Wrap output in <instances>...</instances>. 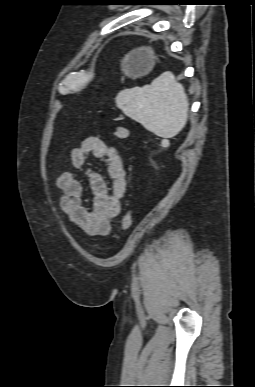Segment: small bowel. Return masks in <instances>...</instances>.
<instances>
[{"mask_svg": "<svg viewBox=\"0 0 255 387\" xmlns=\"http://www.w3.org/2000/svg\"><path fill=\"white\" fill-rule=\"evenodd\" d=\"M93 156L104 160L111 179L110 187L104 177L85 167ZM74 168L85 171L89 178L91 198L83 201V185L71 172L61 173L56 180L61 190L60 207L70 222L89 236H105L111 230V220L121 211V200L127 188V169L119 151L98 137H87L70 152Z\"/></svg>", "mask_w": 255, "mask_h": 387, "instance_id": "c3829d8e", "label": "small bowel"}]
</instances>
